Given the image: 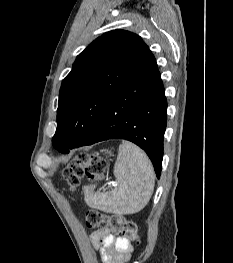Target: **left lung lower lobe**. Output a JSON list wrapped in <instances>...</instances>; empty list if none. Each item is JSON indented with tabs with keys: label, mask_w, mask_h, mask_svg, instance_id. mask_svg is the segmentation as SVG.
I'll return each instance as SVG.
<instances>
[{
	"label": "left lung lower lobe",
	"mask_w": 233,
	"mask_h": 263,
	"mask_svg": "<svg viewBox=\"0 0 233 263\" xmlns=\"http://www.w3.org/2000/svg\"><path fill=\"white\" fill-rule=\"evenodd\" d=\"M166 109L160 73L152 52L148 50L106 106L88 137L81 143L53 138V146L62 153H69L70 149L103 140H129L147 153L159 178Z\"/></svg>",
	"instance_id": "0a47b994"
}]
</instances>
